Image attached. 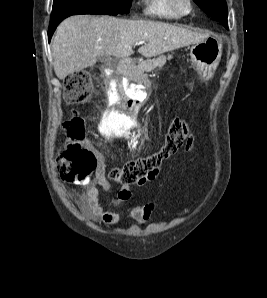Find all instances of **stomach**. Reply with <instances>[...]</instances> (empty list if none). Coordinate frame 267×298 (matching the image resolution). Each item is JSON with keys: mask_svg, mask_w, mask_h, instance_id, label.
<instances>
[{"mask_svg": "<svg viewBox=\"0 0 267 298\" xmlns=\"http://www.w3.org/2000/svg\"><path fill=\"white\" fill-rule=\"evenodd\" d=\"M222 55V42L217 37H207L190 49L192 64L204 80L212 77Z\"/></svg>", "mask_w": 267, "mask_h": 298, "instance_id": "1", "label": "stomach"}]
</instances>
